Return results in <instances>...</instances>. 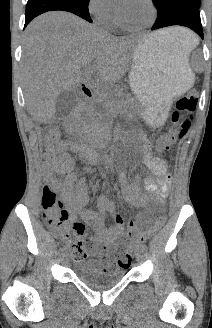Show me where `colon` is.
I'll list each match as a JSON object with an SVG mask.
<instances>
[{
    "label": "colon",
    "mask_w": 212,
    "mask_h": 328,
    "mask_svg": "<svg viewBox=\"0 0 212 328\" xmlns=\"http://www.w3.org/2000/svg\"><path fill=\"white\" fill-rule=\"evenodd\" d=\"M197 103L198 92L196 89L190 90L179 99L177 109L173 114V123L168 132L158 141L160 151L168 150L185 137L192 125ZM59 140L60 133L57 130H51L45 136L47 146H55L59 143ZM42 207L47 223L57 231L60 241L67 247L72 257L75 259L82 258L86 254V244L83 239L84 225L81 223L70 225L68 223L70 216L67 210L63 208V202L59 193L49 186H45L43 189ZM150 212L155 216L153 226L141 235L130 249L145 241L164 225L166 216L160 204L152 206ZM116 264L122 270L128 269L131 264L129 251L120 253L117 256Z\"/></svg>",
    "instance_id": "colon-1"
}]
</instances>
